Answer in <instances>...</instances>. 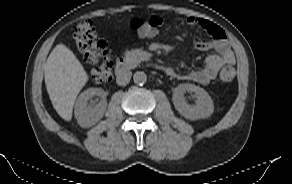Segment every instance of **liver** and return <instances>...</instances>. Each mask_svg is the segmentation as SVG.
<instances>
[{
	"mask_svg": "<svg viewBox=\"0 0 292 184\" xmlns=\"http://www.w3.org/2000/svg\"><path fill=\"white\" fill-rule=\"evenodd\" d=\"M44 77L54 109L70 121L75 100L88 81L82 64L68 47L58 44L44 64Z\"/></svg>",
	"mask_w": 292,
	"mask_h": 184,
	"instance_id": "1",
	"label": "liver"
}]
</instances>
